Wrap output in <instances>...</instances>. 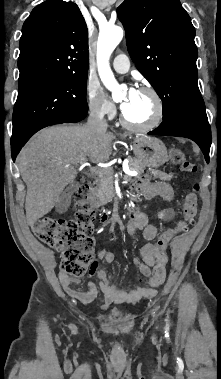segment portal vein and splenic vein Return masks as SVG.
Here are the masks:
<instances>
[{"label": "portal vein and splenic vein", "mask_w": 221, "mask_h": 379, "mask_svg": "<svg viewBox=\"0 0 221 379\" xmlns=\"http://www.w3.org/2000/svg\"><path fill=\"white\" fill-rule=\"evenodd\" d=\"M85 165V164H83ZM90 172L93 173V174H98V175H102L104 173V169H100V168H90ZM124 173H125V176L124 177H127V176H132L135 174L134 171H130L129 169L127 170H124Z\"/></svg>", "instance_id": "obj_1"}]
</instances>
